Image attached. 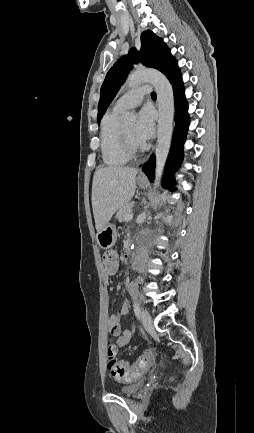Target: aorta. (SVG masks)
Returning <instances> with one entry per match:
<instances>
[{
  "instance_id": "762f6f07",
  "label": "aorta",
  "mask_w": 254,
  "mask_h": 433,
  "mask_svg": "<svg viewBox=\"0 0 254 433\" xmlns=\"http://www.w3.org/2000/svg\"><path fill=\"white\" fill-rule=\"evenodd\" d=\"M146 82L151 83L155 88L159 110L157 128L158 139L155 151L156 167L154 189H156L160 185L162 173L170 150L173 130L174 98L170 82L157 70H136L129 74L125 84L128 87H135ZM123 119L126 122H133L136 119V115L132 112H124Z\"/></svg>"
}]
</instances>
